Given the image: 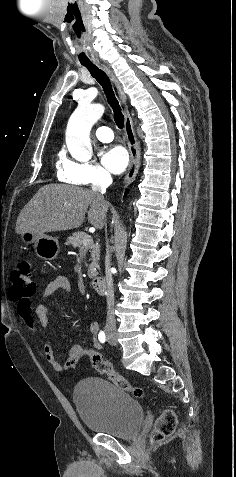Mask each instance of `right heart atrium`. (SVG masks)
Returning a JSON list of instances; mask_svg holds the SVG:
<instances>
[{"label": "right heart atrium", "instance_id": "1", "mask_svg": "<svg viewBox=\"0 0 236 477\" xmlns=\"http://www.w3.org/2000/svg\"><path fill=\"white\" fill-rule=\"evenodd\" d=\"M60 176L67 183L79 186L99 185L110 179V174L101 165L65 159L60 167Z\"/></svg>", "mask_w": 236, "mask_h": 477}]
</instances>
